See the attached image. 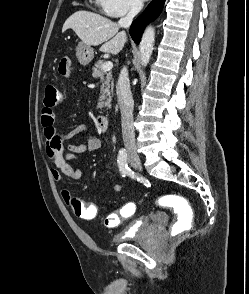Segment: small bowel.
Wrapping results in <instances>:
<instances>
[{
  "mask_svg": "<svg viewBox=\"0 0 249 294\" xmlns=\"http://www.w3.org/2000/svg\"><path fill=\"white\" fill-rule=\"evenodd\" d=\"M64 77H68V73ZM55 122V108L47 105L43 106L40 113V125L46 140V154L51 160V177L55 182H61L63 176L68 177L72 181H77L81 178V169L72 166L70 162H77L80 154L92 153L99 150L101 147V140L98 136L92 133L85 124H79L67 132L60 133L56 129ZM78 136L85 137V142L81 144H68L66 147L64 146L65 140ZM111 188L116 193L122 191V186L119 183H113ZM61 197L66 204L71 205L73 196L70 191L63 189L61 191ZM89 208L95 210L96 216L97 209L95 205L89 204ZM123 210L124 207L119 212L112 213L105 219V224L108 228L117 227L120 224L121 219L129 217L123 216ZM81 218L93 219L86 216ZM113 219L115 222L112 221Z\"/></svg>",
  "mask_w": 249,
  "mask_h": 294,
  "instance_id": "1",
  "label": "small bowel"
}]
</instances>
